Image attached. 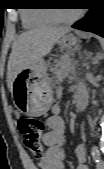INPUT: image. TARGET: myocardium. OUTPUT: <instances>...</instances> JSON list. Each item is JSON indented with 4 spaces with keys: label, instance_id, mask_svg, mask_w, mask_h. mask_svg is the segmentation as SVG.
Masks as SVG:
<instances>
[{
    "label": "myocardium",
    "instance_id": "f54148a6",
    "mask_svg": "<svg viewBox=\"0 0 104 169\" xmlns=\"http://www.w3.org/2000/svg\"><path fill=\"white\" fill-rule=\"evenodd\" d=\"M49 15L53 18V20L57 23H72L76 21L81 15L82 11L78 10L72 16L69 17H62L58 11L50 10Z\"/></svg>",
    "mask_w": 104,
    "mask_h": 169
}]
</instances>
